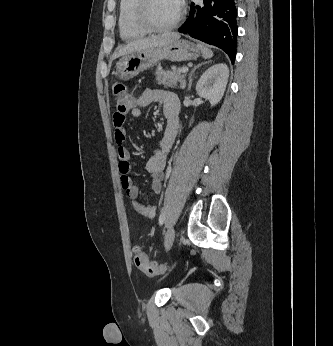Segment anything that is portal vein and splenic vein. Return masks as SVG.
I'll return each instance as SVG.
<instances>
[{"mask_svg":"<svg viewBox=\"0 0 333 346\" xmlns=\"http://www.w3.org/2000/svg\"><path fill=\"white\" fill-rule=\"evenodd\" d=\"M181 72H182V73L188 72V67H183V68L181 69Z\"/></svg>","mask_w":333,"mask_h":346,"instance_id":"obj_1","label":"portal vein and splenic vein"}]
</instances>
